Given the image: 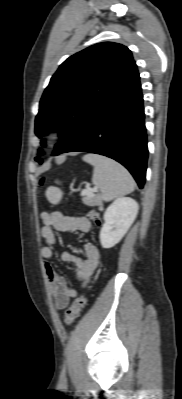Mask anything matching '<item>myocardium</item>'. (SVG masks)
I'll list each match as a JSON object with an SVG mask.
<instances>
[{"mask_svg": "<svg viewBox=\"0 0 182 399\" xmlns=\"http://www.w3.org/2000/svg\"><path fill=\"white\" fill-rule=\"evenodd\" d=\"M59 135H60V130H59L58 128H55V129H52V130L48 133L47 138H48L50 141H55V140H57V139L59 138Z\"/></svg>", "mask_w": 182, "mask_h": 399, "instance_id": "f54148a6", "label": "myocardium"}]
</instances>
